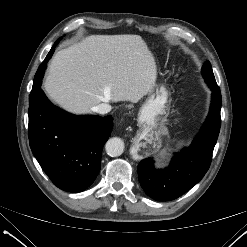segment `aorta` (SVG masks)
<instances>
[{"instance_id": "1", "label": "aorta", "mask_w": 247, "mask_h": 247, "mask_svg": "<svg viewBox=\"0 0 247 247\" xmlns=\"http://www.w3.org/2000/svg\"><path fill=\"white\" fill-rule=\"evenodd\" d=\"M105 150L111 157L120 156L124 151V142L118 137L110 138L105 144Z\"/></svg>"}]
</instances>
